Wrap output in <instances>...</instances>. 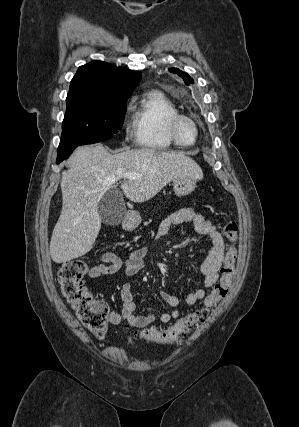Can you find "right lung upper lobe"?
Listing matches in <instances>:
<instances>
[{"label":"right lung upper lobe","instance_id":"1","mask_svg":"<svg viewBox=\"0 0 299 427\" xmlns=\"http://www.w3.org/2000/svg\"><path fill=\"white\" fill-rule=\"evenodd\" d=\"M141 72L117 68L102 61L79 67L71 80L66 100L83 97L118 98L130 96Z\"/></svg>","mask_w":299,"mask_h":427}]
</instances>
